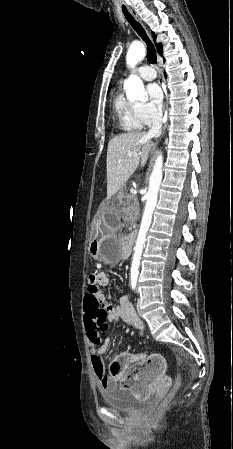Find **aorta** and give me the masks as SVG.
<instances>
[{
    "label": "aorta",
    "mask_w": 233,
    "mask_h": 449,
    "mask_svg": "<svg viewBox=\"0 0 233 449\" xmlns=\"http://www.w3.org/2000/svg\"><path fill=\"white\" fill-rule=\"evenodd\" d=\"M146 49L143 43H132L126 55V63L129 67L134 68L145 57ZM124 89L126 91L127 99L145 101L148 95L145 92L143 81L135 74H131L124 82ZM163 156L158 153L155 160L153 171L149 179V188L146 194V205L143 212L140 230L134 247V254L131 266V278L137 279L138 270L141 261L143 247L146 241V234L151 225L153 212L155 210L158 192L163 176Z\"/></svg>",
    "instance_id": "obj_1"
}]
</instances>
